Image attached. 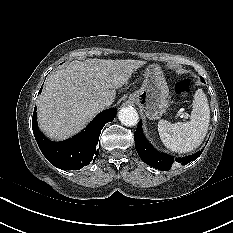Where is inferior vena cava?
Returning <instances> with one entry per match:
<instances>
[{"instance_id": "602c4592", "label": "inferior vena cava", "mask_w": 233, "mask_h": 233, "mask_svg": "<svg viewBox=\"0 0 233 233\" xmlns=\"http://www.w3.org/2000/svg\"><path fill=\"white\" fill-rule=\"evenodd\" d=\"M99 105L103 108L108 107L109 105H111V101L108 98H101L99 100Z\"/></svg>"}]
</instances>
